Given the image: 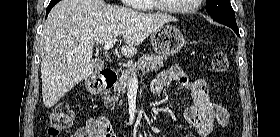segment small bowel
Masks as SVG:
<instances>
[{"label":"small bowel","mask_w":280,"mask_h":137,"mask_svg":"<svg viewBox=\"0 0 280 137\" xmlns=\"http://www.w3.org/2000/svg\"><path fill=\"white\" fill-rule=\"evenodd\" d=\"M171 85H179L188 92L192 103L185 108L184 117L197 129L200 137H209L215 122L221 127H226L230 123L229 112L210 98L209 86L205 79L190 78L180 66L174 65L160 73L153 82L152 91L161 94L165 87ZM97 121L109 129V137H115L106 117H100ZM72 137L99 136L92 135L90 126L86 125L79 128Z\"/></svg>","instance_id":"obj_1"}]
</instances>
